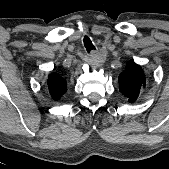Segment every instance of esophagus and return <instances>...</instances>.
I'll use <instances>...</instances> for the list:
<instances>
[{
	"instance_id": "esophagus-1",
	"label": "esophagus",
	"mask_w": 169,
	"mask_h": 169,
	"mask_svg": "<svg viewBox=\"0 0 169 169\" xmlns=\"http://www.w3.org/2000/svg\"><path fill=\"white\" fill-rule=\"evenodd\" d=\"M95 52H96V51H94V50L92 51V53H95Z\"/></svg>"
}]
</instances>
